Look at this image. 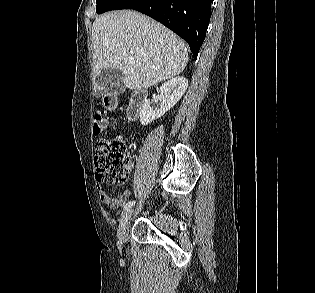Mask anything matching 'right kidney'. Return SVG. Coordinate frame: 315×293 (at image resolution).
I'll return each mask as SVG.
<instances>
[{"mask_svg":"<svg viewBox=\"0 0 315 293\" xmlns=\"http://www.w3.org/2000/svg\"><path fill=\"white\" fill-rule=\"evenodd\" d=\"M188 87V81L185 77H175L165 82L160 87V108L155 110L150 103L146 100L140 111V122L143 126L148 125L155 119L163 116L169 111L183 96Z\"/></svg>","mask_w":315,"mask_h":293,"instance_id":"1","label":"right kidney"}]
</instances>
